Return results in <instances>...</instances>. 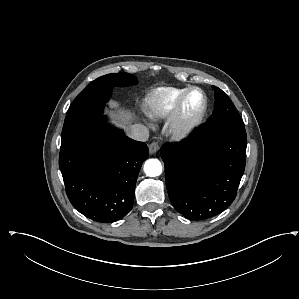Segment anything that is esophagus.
<instances>
[{
    "label": "esophagus",
    "mask_w": 299,
    "mask_h": 299,
    "mask_svg": "<svg viewBox=\"0 0 299 299\" xmlns=\"http://www.w3.org/2000/svg\"><path fill=\"white\" fill-rule=\"evenodd\" d=\"M159 149V144L158 142L154 141L149 145V153L154 154L158 151Z\"/></svg>",
    "instance_id": "obj_1"
}]
</instances>
